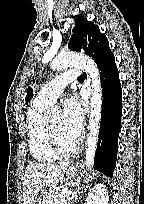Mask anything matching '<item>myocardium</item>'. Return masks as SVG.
<instances>
[{
	"mask_svg": "<svg viewBox=\"0 0 144 204\" xmlns=\"http://www.w3.org/2000/svg\"><path fill=\"white\" fill-rule=\"evenodd\" d=\"M47 134L49 138V142L53 148V150L59 155V156H70L75 154L79 149V143L75 141V143L71 147H65L60 142L52 124L51 121H47Z\"/></svg>",
	"mask_w": 144,
	"mask_h": 204,
	"instance_id": "obj_1",
	"label": "myocardium"
}]
</instances>
